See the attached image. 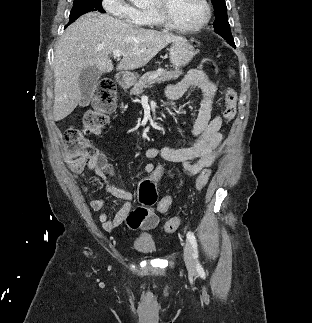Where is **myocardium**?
<instances>
[{
    "label": "myocardium",
    "mask_w": 312,
    "mask_h": 323,
    "mask_svg": "<svg viewBox=\"0 0 312 323\" xmlns=\"http://www.w3.org/2000/svg\"><path fill=\"white\" fill-rule=\"evenodd\" d=\"M156 13L162 25H169V31H203V27L208 25L213 16L212 4L209 0H198L202 16L199 20H173L170 12H167V0H160Z\"/></svg>",
    "instance_id": "f54148a6"
}]
</instances>
